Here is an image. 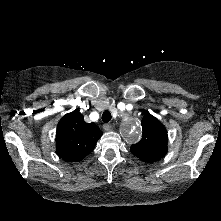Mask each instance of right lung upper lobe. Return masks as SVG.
Returning a JSON list of instances; mask_svg holds the SVG:
<instances>
[{"label": "right lung upper lobe", "instance_id": "cb5924a9", "mask_svg": "<svg viewBox=\"0 0 221 221\" xmlns=\"http://www.w3.org/2000/svg\"><path fill=\"white\" fill-rule=\"evenodd\" d=\"M102 131L94 123H86L74 110L62 117L57 126L56 152L69 162L81 161L95 147Z\"/></svg>", "mask_w": 221, "mask_h": 221}]
</instances>
